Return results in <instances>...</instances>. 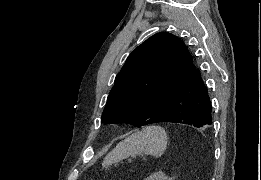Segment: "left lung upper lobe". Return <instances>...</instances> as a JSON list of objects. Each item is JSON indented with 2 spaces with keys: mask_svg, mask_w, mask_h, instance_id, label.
Here are the masks:
<instances>
[{
  "mask_svg": "<svg viewBox=\"0 0 261 180\" xmlns=\"http://www.w3.org/2000/svg\"><path fill=\"white\" fill-rule=\"evenodd\" d=\"M192 56L176 36L160 32L139 45L115 78L102 119L136 127L151 124L193 71Z\"/></svg>",
  "mask_w": 261,
  "mask_h": 180,
  "instance_id": "obj_1",
  "label": "left lung upper lobe"
}]
</instances>
